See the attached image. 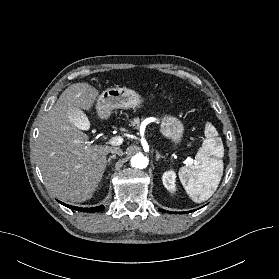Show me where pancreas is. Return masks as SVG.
Masks as SVG:
<instances>
[{"mask_svg":"<svg viewBox=\"0 0 279 279\" xmlns=\"http://www.w3.org/2000/svg\"><path fill=\"white\" fill-rule=\"evenodd\" d=\"M132 126H135L136 128L139 127L140 125V119L139 118H135L132 122H131Z\"/></svg>","mask_w":279,"mask_h":279,"instance_id":"obj_1","label":"pancreas"}]
</instances>
